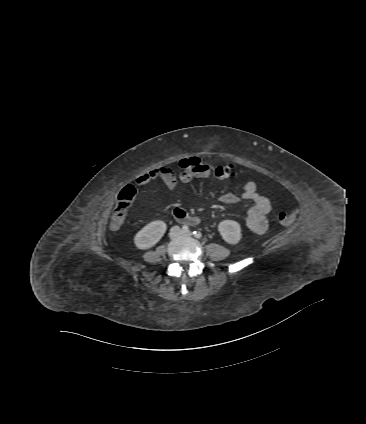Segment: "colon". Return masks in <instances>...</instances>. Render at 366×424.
I'll return each instance as SVG.
<instances>
[{
    "mask_svg": "<svg viewBox=\"0 0 366 424\" xmlns=\"http://www.w3.org/2000/svg\"><path fill=\"white\" fill-rule=\"evenodd\" d=\"M179 167L180 176L183 180L205 177L210 172V168L199 158L195 157L181 160ZM213 174L216 178L225 180L236 177L238 171L236 166L232 164H225L214 168ZM135 195L136 188L134 186H127L119 194L110 214L109 225L111 229L117 230L122 226ZM296 215L297 214L294 209L282 211L277 215V221L280 225L288 227L294 223Z\"/></svg>",
    "mask_w": 366,
    "mask_h": 424,
    "instance_id": "colon-1",
    "label": "colon"
}]
</instances>
